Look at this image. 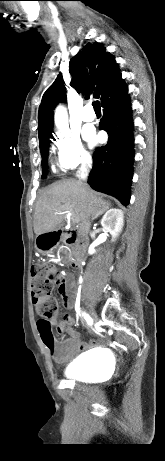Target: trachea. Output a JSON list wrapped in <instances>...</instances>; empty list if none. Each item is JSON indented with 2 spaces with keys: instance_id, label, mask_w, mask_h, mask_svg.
I'll return each instance as SVG.
<instances>
[{
  "instance_id": "1",
  "label": "trachea",
  "mask_w": 165,
  "mask_h": 461,
  "mask_svg": "<svg viewBox=\"0 0 165 461\" xmlns=\"http://www.w3.org/2000/svg\"><path fill=\"white\" fill-rule=\"evenodd\" d=\"M93 108H94V111H95V112H101V108H100V103H99V101H94V102H93Z\"/></svg>"
}]
</instances>
